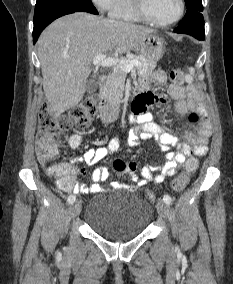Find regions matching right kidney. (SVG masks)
Instances as JSON below:
<instances>
[{
  "mask_svg": "<svg viewBox=\"0 0 233 284\" xmlns=\"http://www.w3.org/2000/svg\"><path fill=\"white\" fill-rule=\"evenodd\" d=\"M82 141V137L80 135H74L69 139V145L72 149H76Z\"/></svg>",
  "mask_w": 233,
  "mask_h": 284,
  "instance_id": "1",
  "label": "right kidney"
}]
</instances>
